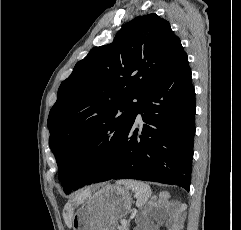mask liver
<instances>
[{
	"label": "liver",
	"instance_id": "liver-1",
	"mask_svg": "<svg viewBox=\"0 0 241 230\" xmlns=\"http://www.w3.org/2000/svg\"><path fill=\"white\" fill-rule=\"evenodd\" d=\"M65 223L68 228L72 227L73 212L69 211L68 215L64 217Z\"/></svg>",
	"mask_w": 241,
	"mask_h": 230
}]
</instances>
